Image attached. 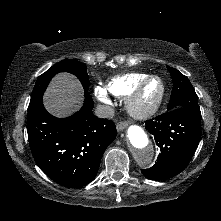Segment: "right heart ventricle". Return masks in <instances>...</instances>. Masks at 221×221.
Here are the masks:
<instances>
[{"instance_id":"1","label":"right heart ventricle","mask_w":221,"mask_h":221,"mask_svg":"<svg viewBox=\"0 0 221 221\" xmlns=\"http://www.w3.org/2000/svg\"><path fill=\"white\" fill-rule=\"evenodd\" d=\"M147 76L148 74L140 72L118 75L107 81L105 89L118 98H125Z\"/></svg>"}]
</instances>
